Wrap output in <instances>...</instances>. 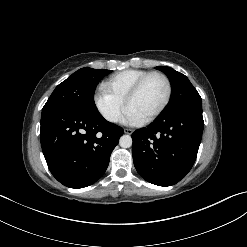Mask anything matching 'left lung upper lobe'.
Wrapping results in <instances>:
<instances>
[{"mask_svg": "<svg viewBox=\"0 0 247 247\" xmlns=\"http://www.w3.org/2000/svg\"><path fill=\"white\" fill-rule=\"evenodd\" d=\"M156 69L168 76L172 86L171 99L164 112L186 105H201L199 93L184 74L166 66H158Z\"/></svg>", "mask_w": 247, "mask_h": 247, "instance_id": "5c2ea615", "label": "left lung upper lobe"}]
</instances>
